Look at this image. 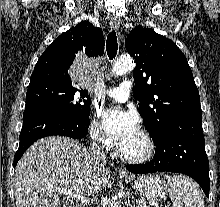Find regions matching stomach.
Masks as SVG:
<instances>
[{"instance_id":"stomach-1","label":"stomach","mask_w":220,"mask_h":207,"mask_svg":"<svg viewBox=\"0 0 220 207\" xmlns=\"http://www.w3.org/2000/svg\"><path fill=\"white\" fill-rule=\"evenodd\" d=\"M143 197L151 201H159L166 198L168 187L158 175H146L138 177L122 176Z\"/></svg>"}]
</instances>
